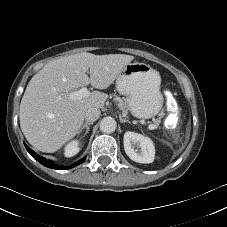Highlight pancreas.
I'll use <instances>...</instances> for the list:
<instances>
[{"label":"pancreas","mask_w":227,"mask_h":227,"mask_svg":"<svg viewBox=\"0 0 227 227\" xmlns=\"http://www.w3.org/2000/svg\"><path fill=\"white\" fill-rule=\"evenodd\" d=\"M115 100L118 102L119 108H120L124 113H126V112H127V105H126V103H125L123 100H121L119 97H115ZM158 123H159V121L157 120V121H156V125H158Z\"/></svg>","instance_id":"1"}]
</instances>
